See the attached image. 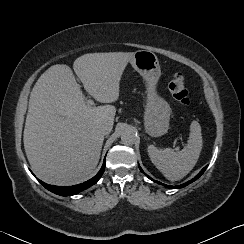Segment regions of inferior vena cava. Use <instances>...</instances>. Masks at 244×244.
<instances>
[{
    "label": "inferior vena cava",
    "instance_id": "602c4592",
    "mask_svg": "<svg viewBox=\"0 0 244 244\" xmlns=\"http://www.w3.org/2000/svg\"><path fill=\"white\" fill-rule=\"evenodd\" d=\"M98 129L102 135H107L111 132L112 127L107 122H102Z\"/></svg>",
    "mask_w": 244,
    "mask_h": 244
}]
</instances>
